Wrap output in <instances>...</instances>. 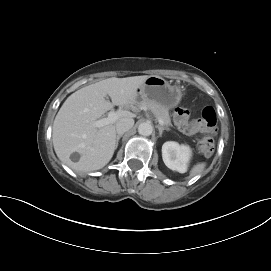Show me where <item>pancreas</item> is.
<instances>
[{
  "instance_id": "pancreas-1",
  "label": "pancreas",
  "mask_w": 271,
  "mask_h": 271,
  "mask_svg": "<svg viewBox=\"0 0 271 271\" xmlns=\"http://www.w3.org/2000/svg\"><path fill=\"white\" fill-rule=\"evenodd\" d=\"M139 107H147L157 119H162L166 127L171 125L168 109L165 107L152 102V101H141ZM169 129V128H166Z\"/></svg>"
}]
</instances>
